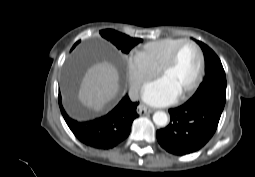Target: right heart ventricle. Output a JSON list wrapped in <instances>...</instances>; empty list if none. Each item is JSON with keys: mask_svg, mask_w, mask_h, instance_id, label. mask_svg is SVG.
Segmentation results:
<instances>
[{"mask_svg": "<svg viewBox=\"0 0 255 177\" xmlns=\"http://www.w3.org/2000/svg\"><path fill=\"white\" fill-rule=\"evenodd\" d=\"M183 38H164L145 44L138 54L150 65L160 70L162 65L169 58L173 49L181 43Z\"/></svg>", "mask_w": 255, "mask_h": 177, "instance_id": "obj_1", "label": "right heart ventricle"}]
</instances>
